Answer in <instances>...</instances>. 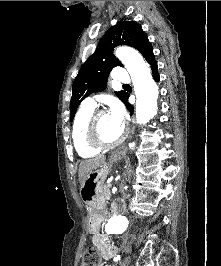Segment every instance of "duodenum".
<instances>
[{
    "label": "duodenum",
    "instance_id": "1",
    "mask_svg": "<svg viewBox=\"0 0 221 266\" xmlns=\"http://www.w3.org/2000/svg\"><path fill=\"white\" fill-rule=\"evenodd\" d=\"M123 211V205L120 202H115L111 206V212L114 214H120Z\"/></svg>",
    "mask_w": 221,
    "mask_h": 266
}]
</instances>
